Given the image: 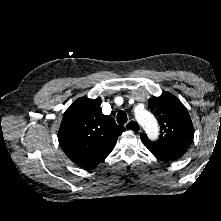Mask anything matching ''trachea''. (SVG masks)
<instances>
[{
	"label": "trachea",
	"mask_w": 221,
	"mask_h": 221,
	"mask_svg": "<svg viewBox=\"0 0 221 221\" xmlns=\"http://www.w3.org/2000/svg\"><path fill=\"white\" fill-rule=\"evenodd\" d=\"M127 122V114L124 111H119L117 114V123L124 124Z\"/></svg>",
	"instance_id": "trachea-1"
}]
</instances>
